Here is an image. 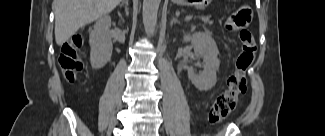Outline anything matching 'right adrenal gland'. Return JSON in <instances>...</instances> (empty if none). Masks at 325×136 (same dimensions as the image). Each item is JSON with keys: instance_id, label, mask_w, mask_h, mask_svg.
<instances>
[{"instance_id": "1", "label": "right adrenal gland", "mask_w": 325, "mask_h": 136, "mask_svg": "<svg viewBox=\"0 0 325 136\" xmlns=\"http://www.w3.org/2000/svg\"><path fill=\"white\" fill-rule=\"evenodd\" d=\"M128 3H129V0H122V3L119 5L120 8H122L125 5V12H126L127 17L129 16ZM119 16H121L120 13H119Z\"/></svg>"}]
</instances>
